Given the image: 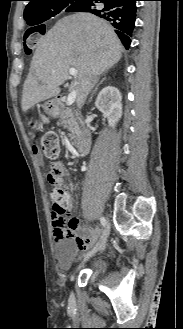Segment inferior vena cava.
<instances>
[{
    "label": "inferior vena cava",
    "mask_w": 183,
    "mask_h": 329,
    "mask_svg": "<svg viewBox=\"0 0 183 329\" xmlns=\"http://www.w3.org/2000/svg\"><path fill=\"white\" fill-rule=\"evenodd\" d=\"M94 86L93 80L88 78L82 82L81 88L77 96V106L80 108L83 106L90 90Z\"/></svg>",
    "instance_id": "inferior-vena-cava-1"
}]
</instances>
